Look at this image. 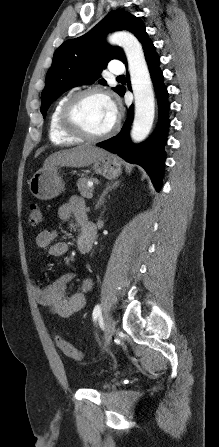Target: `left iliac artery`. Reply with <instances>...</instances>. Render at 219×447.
I'll return each instance as SVG.
<instances>
[{
  "instance_id": "obj_1",
  "label": "left iliac artery",
  "mask_w": 219,
  "mask_h": 447,
  "mask_svg": "<svg viewBox=\"0 0 219 447\" xmlns=\"http://www.w3.org/2000/svg\"><path fill=\"white\" fill-rule=\"evenodd\" d=\"M99 316H101V307L96 305L93 310V320L96 321Z\"/></svg>"
}]
</instances>
